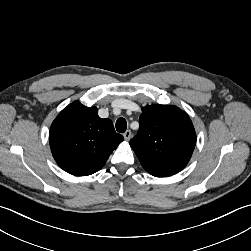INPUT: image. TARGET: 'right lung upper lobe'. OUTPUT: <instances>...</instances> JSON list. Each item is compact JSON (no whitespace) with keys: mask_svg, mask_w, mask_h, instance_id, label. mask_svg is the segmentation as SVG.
I'll list each match as a JSON object with an SVG mask.
<instances>
[{"mask_svg":"<svg viewBox=\"0 0 251 251\" xmlns=\"http://www.w3.org/2000/svg\"><path fill=\"white\" fill-rule=\"evenodd\" d=\"M123 140L110 119L100 118L96 107H86L79 101L59 113L49 132L55 161L75 176L99 171Z\"/></svg>","mask_w":251,"mask_h":251,"instance_id":"right-lung-upper-lobe-1","label":"right lung upper lobe"}]
</instances>
